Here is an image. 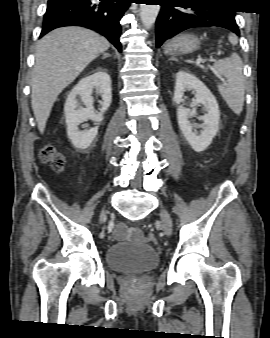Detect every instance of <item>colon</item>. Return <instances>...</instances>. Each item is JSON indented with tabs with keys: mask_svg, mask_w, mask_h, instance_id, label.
<instances>
[{
	"mask_svg": "<svg viewBox=\"0 0 270 338\" xmlns=\"http://www.w3.org/2000/svg\"><path fill=\"white\" fill-rule=\"evenodd\" d=\"M40 155L42 161L49 163L55 171L59 172L63 169L64 156L60 152L56 151L54 147L50 145L44 146ZM146 240L153 244L157 241L154 236H149Z\"/></svg>",
	"mask_w": 270,
	"mask_h": 338,
	"instance_id": "1",
	"label": "colon"
}]
</instances>
